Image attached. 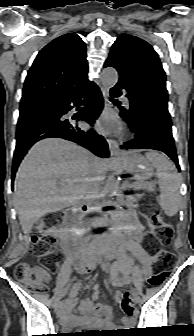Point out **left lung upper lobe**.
I'll list each match as a JSON object with an SVG mask.
<instances>
[{"label":"left lung upper lobe","mask_w":194,"mask_h":336,"mask_svg":"<svg viewBox=\"0 0 194 336\" xmlns=\"http://www.w3.org/2000/svg\"><path fill=\"white\" fill-rule=\"evenodd\" d=\"M105 63L117 69L119 80L131 87L143 104L167 108L165 72L157 53L146 41L121 35Z\"/></svg>","instance_id":"left-lung-upper-lobe-1"}]
</instances>
